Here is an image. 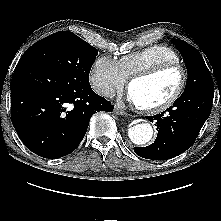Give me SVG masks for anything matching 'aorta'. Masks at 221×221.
Returning a JSON list of instances; mask_svg holds the SVG:
<instances>
[{
  "instance_id": "762f6f07",
  "label": "aorta",
  "mask_w": 221,
  "mask_h": 221,
  "mask_svg": "<svg viewBox=\"0 0 221 221\" xmlns=\"http://www.w3.org/2000/svg\"><path fill=\"white\" fill-rule=\"evenodd\" d=\"M130 140L137 145L148 143L153 136V128L149 123L136 124L128 129Z\"/></svg>"
}]
</instances>
